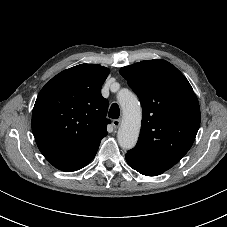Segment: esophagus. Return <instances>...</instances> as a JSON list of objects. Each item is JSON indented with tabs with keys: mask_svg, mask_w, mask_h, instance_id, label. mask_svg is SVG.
Segmentation results:
<instances>
[{
	"mask_svg": "<svg viewBox=\"0 0 227 227\" xmlns=\"http://www.w3.org/2000/svg\"><path fill=\"white\" fill-rule=\"evenodd\" d=\"M121 124V119H115L113 120V126L114 128H118Z\"/></svg>",
	"mask_w": 227,
	"mask_h": 227,
	"instance_id": "obj_1",
	"label": "esophagus"
}]
</instances>
